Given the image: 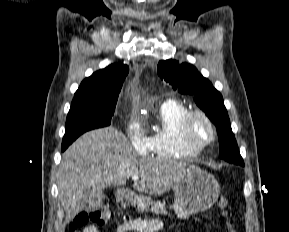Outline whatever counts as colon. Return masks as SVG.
I'll return each instance as SVG.
<instances>
[{"instance_id":"obj_1","label":"colon","mask_w":289,"mask_h":232,"mask_svg":"<svg viewBox=\"0 0 289 232\" xmlns=\"http://www.w3.org/2000/svg\"><path fill=\"white\" fill-rule=\"evenodd\" d=\"M229 201L226 197L222 196L218 200V206L222 211L223 216L226 219L228 232H236L234 223L232 219L229 217L227 208ZM110 216V210L107 206L102 207L101 209L93 210V211H83L79 213L70 224V231L76 232L78 229L88 226V224L92 225H102Z\"/></svg>"}]
</instances>
